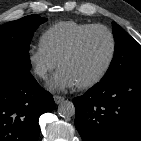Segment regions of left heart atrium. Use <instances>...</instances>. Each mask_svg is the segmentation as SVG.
I'll list each match as a JSON object with an SVG mask.
<instances>
[{
	"label": "left heart atrium",
	"instance_id": "obj_1",
	"mask_svg": "<svg viewBox=\"0 0 141 141\" xmlns=\"http://www.w3.org/2000/svg\"><path fill=\"white\" fill-rule=\"evenodd\" d=\"M75 85L72 77L62 68H59L47 82V87L52 91H63L72 88Z\"/></svg>",
	"mask_w": 141,
	"mask_h": 141
}]
</instances>
